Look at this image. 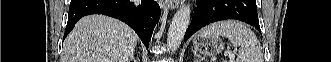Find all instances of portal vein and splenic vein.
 I'll list each match as a JSON object with an SVG mask.
<instances>
[{
	"instance_id": "1",
	"label": "portal vein and splenic vein",
	"mask_w": 331,
	"mask_h": 62,
	"mask_svg": "<svg viewBox=\"0 0 331 62\" xmlns=\"http://www.w3.org/2000/svg\"><path fill=\"white\" fill-rule=\"evenodd\" d=\"M228 54H229L230 62H233V60L235 58L234 54H231V52H228Z\"/></svg>"
}]
</instances>
